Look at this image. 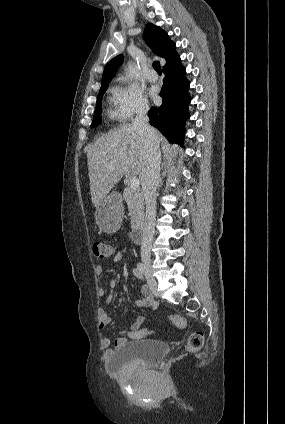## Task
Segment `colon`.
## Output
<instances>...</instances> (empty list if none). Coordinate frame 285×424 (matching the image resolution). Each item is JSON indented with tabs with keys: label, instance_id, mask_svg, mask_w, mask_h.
Masks as SVG:
<instances>
[{
	"label": "colon",
	"instance_id": "obj_1",
	"mask_svg": "<svg viewBox=\"0 0 285 424\" xmlns=\"http://www.w3.org/2000/svg\"><path fill=\"white\" fill-rule=\"evenodd\" d=\"M92 251L95 257L107 259L113 255V248L110 244L103 241H95L92 245ZM169 325L176 329H182L185 326V320L178 314H172L168 318ZM152 334L151 330H143L141 337L146 338ZM204 336L201 332H194L189 336L187 348L189 351H197L202 348Z\"/></svg>",
	"mask_w": 285,
	"mask_h": 424
}]
</instances>
